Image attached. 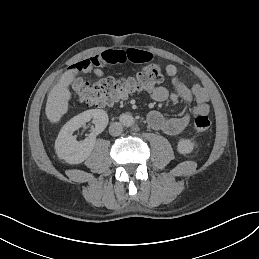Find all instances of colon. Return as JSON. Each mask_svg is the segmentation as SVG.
<instances>
[{
  "label": "colon",
  "mask_w": 259,
  "mask_h": 259,
  "mask_svg": "<svg viewBox=\"0 0 259 259\" xmlns=\"http://www.w3.org/2000/svg\"><path fill=\"white\" fill-rule=\"evenodd\" d=\"M163 75L158 63H151L141 68L135 76L123 78H105L99 82H89L76 78L71 84L75 96L83 103L106 107L134 94L149 91L162 82ZM211 127L207 115H197L193 128L204 132Z\"/></svg>",
  "instance_id": "1"
}]
</instances>
